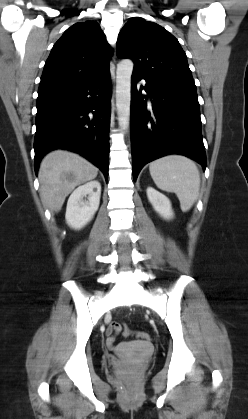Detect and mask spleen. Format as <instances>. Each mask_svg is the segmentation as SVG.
I'll return each mask as SVG.
<instances>
[{"instance_id": "spleen-1", "label": "spleen", "mask_w": 248, "mask_h": 419, "mask_svg": "<svg viewBox=\"0 0 248 419\" xmlns=\"http://www.w3.org/2000/svg\"><path fill=\"white\" fill-rule=\"evenodd\" d=\"M150 174L157 187L174 192L183 212H187L198 198L200 173L196 164L181 155H169L153 161Z\"/></svg>"}]
</instances>
